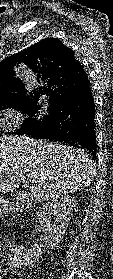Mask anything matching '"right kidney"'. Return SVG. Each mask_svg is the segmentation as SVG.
Returning a JSON list of instances; mask_svg holds the SVG:
<instances>
[{
	"label": "right kidney",
	"mask_w": 113,
	"mask_h": 279,
	"mask_svg": "<svg viewBox=\"0 0 113 279\" xmlns=\"http://www.w3.org/2000/svg\"><path fill=\"white\" fill-rule=\"evenodd\" d=\"M75 208V197L69 195L46 202L39 208L36 227L42 233L41 238L46 248H53L62 240Z\"/></svg>",
	"instance_id": "ca27d5eb"
}]
</instances>
